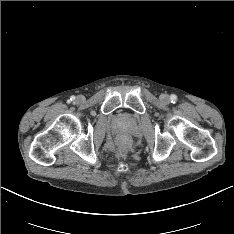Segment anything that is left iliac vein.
<instances>
[{
  "mask_svg": "<svg viewBox=\"0 0 234 234\" xmlns=\"http://www.w3.org/2000/svg\"><path fill=\"white\" fill-rule=\"evenodd\" d=\"M160 100H161V102L167 104V103H169L170 99H169V96L167 94H161L160 95Z\"/></svg>",
  "mask_w": 234,
  "mask_h": 234,
  "instance_id": "1",
  "label": "left iliac vein"
}]
</instances>
